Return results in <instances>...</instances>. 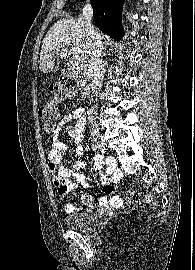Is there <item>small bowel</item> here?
Here are the masks:
<instances>
[{"label": "small bowel", "instance_id": "small-bowel-1", "mask_svg": "<svg viewBox=\"0 0 195 270\" xmlns=\"http://www.w3.org/2000/svg\"><path fill=\"white\" fill-rule=\"evenodd\" d=\"M75 121L68 134L73 139L76 146V154L78 157L83 156V142L85 138V125L86 116L83 108H75L67 112L58 122L54 134L51 136V149L48 152V171L52 177L53 185L57 188L60 197L64 198L72 190L76 189L79 185L88 186L86 177L81 174L80 170L83 168L84 163L81 160H76L70 168L63 164V155L67 152V145L59 139L60 131L70 122ZM100 158L95 159V166L100 165ZM109 173L112 180H115L120 175V170L117 168L114 160L109 161ZM111 179L103 176L101 178L104 185V192L109 196L100 199L101 205H109L113 208H119L123 204V199L116 195V187L111 184ZM85 205L92 204V197L84 194L81 197ZM65 210L68 213H73L79 209L74 207L71 203L65 205Z\"/></svg>", "mask_w": 195, "mask_h": 270}]
</instances>
